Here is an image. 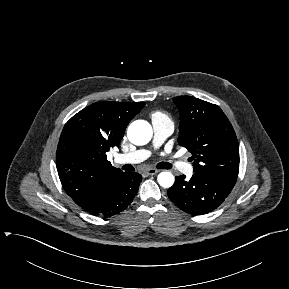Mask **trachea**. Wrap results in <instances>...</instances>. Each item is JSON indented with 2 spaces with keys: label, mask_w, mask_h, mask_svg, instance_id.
Returning <instances> with one entry per match:
<instances>
[{
  "label": "trachea",
  "mask_w": 289,
  "mask_h": 289,
  "mask_svg": "<svg viewBox=\"0 0 289 289\" xmlns=\"http://www.w3.org/2000/svg\"><path fill=\"white\" fill-rule=\"evenodd\" d=\"M123 168H124V170H130V168L128 166H124ZM160 168H162V169H171L172 165L167 163V162H163V163L160 164Z\"/></svg>",
  "instance_id": "3493384b"
}]
</instances>
